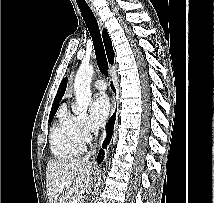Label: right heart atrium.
<instances>
[{
    "label": "right heart atrium",
    "instance_id": "right-heart-atrium-1",
    "mask_svg": "<svg viewBox=\"0 0 214 203\" xmlns=\"http://www.w3.org/2000/svg\"><path fill=\"white\" fill-rule=\"evenodd\" d=\"M68 122L76 139L83 145L91 140L96 129L91 122L82 116H69Z\"/></svg>",
    "mask_w": 214,
    "mask_h": 203
}]
</instances>
